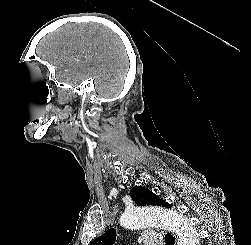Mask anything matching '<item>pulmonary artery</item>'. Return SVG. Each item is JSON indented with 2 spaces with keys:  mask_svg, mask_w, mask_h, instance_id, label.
<instances>
[{
  "mask_svg": "<svg viewBox=\"0 0 251 245\" xmlns=\"http://www.w3.org/2000/svg\"><path fill=\"white\" fill-rule=\"evenodd\" d=\"M144 245H161L162 238L154 233H147L141 236Z\"/></svg>",
  "mask_w": 251,
  "mask_h": 245,
  "instance_id": "pulmonary-artery-1",
  "label": "pulmonary artery"
}]
</instances>
